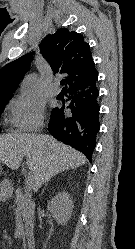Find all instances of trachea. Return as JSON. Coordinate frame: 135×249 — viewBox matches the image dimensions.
I'll list each match as a JSON object with an SVG mask.
<instances>
[{
    "label": "trachea",
    "mask_w": 135,
    "mask_h": 249,
    "mask_svg": "<svg viewBox=\"0 0 135 249\" xmlns=\"http://www.w3.org/2000/svg\"><path fill=\"white\" fill-rule=\"evenodd\" d=\"M61 84H62V85H65V80H62V81H61Z\"/></svg>",
    "instance_id": "trachea-1"
}]
</instances>
